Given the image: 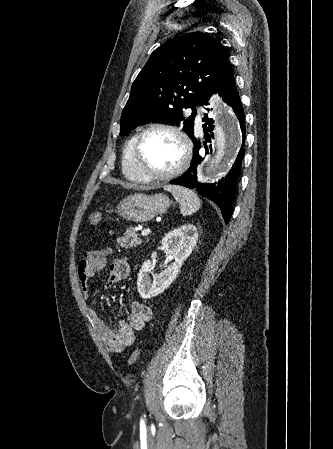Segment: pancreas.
Instances as JSON below:
<instances>
[{
    "instance_id": "cf45deb5",
    "label": "pancreas",
    "mask_w": 333,
    "mask_h": 449,
    "mask_svg": "<svg viewBox=\"0 0 333 449\" xmlns=\"http://www.w3.org/2000/svg\"><path fill=\"white\" fill-rule=\"evenodd\" d=\"M117 243L123 248H132L141 244V240L137 237V234L132 231L131 228L126 229L124 236L117 239Z\"/></svg>"
}]
</instances>
